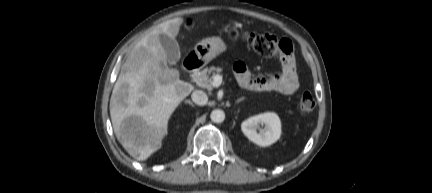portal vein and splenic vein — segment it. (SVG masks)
I'll return each instance as SVG.
<instances>
[{
	"label": "portal vein and splenic vein",
	"instance_id": "1",
	"mask_svg": "<svg viewBox=\"0 0 432 193\" xmlns=\"http://www.w3.org/2000/svg\"><path fill=\"white\" fill-rule=\"evenodd\" d=\"M222 83V76L217 74L213 77V86L214 87H219Z\"/></svg>",
	"mask_w": 432,
	"mask_h": 193
}]
</instances>
